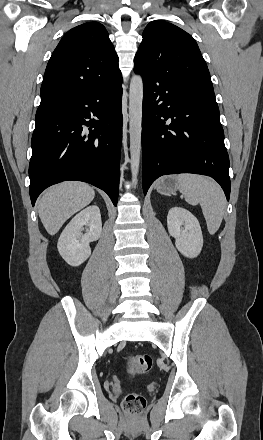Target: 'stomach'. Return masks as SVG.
Segmentation results:
<instances>
[{"label":"stomach","mask_w":263,"mask_h":440,"mask_svg":"<svg viewBox=\"0 0 263 440\" xmlns=\"http://www.w3.org/2000/svg\"><path fill=\"white\" fill-rule=\"evenodd\" d=\"M156 189L160 194L172 195L177 190L176 176H168L156 183Z\"/></svg>","instance_id":"obj_1"}]
</instances>
